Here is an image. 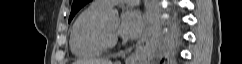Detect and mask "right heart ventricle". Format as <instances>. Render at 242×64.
I'll return each mask as SVG.
<instances>
[{
  "instance_id": "right-heart-ventricle-1",
  "label": "right heart ventricle",
  "mask_w": 242,
  "mask_h": 64,
  "mask_svg": "<svg viewBox=\"0 0 242 64\" xmlns=\"http://www.w3.org/2000/svg\"><path fill=\"white\" fill-rule=\"evenodd\" d=\"M106 10V8L92 3L75 19L70 29L69 38L70 50L75 56L79 58H93L104 51L91 39L90 31L104 17Z\"/></svg>"
}]
</instances>
